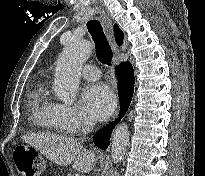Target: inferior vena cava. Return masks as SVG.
Instances as JSON below:
<instances>
[{"label": "inferior vena cava", "instance_id": "obj_1", "mask_svg": "<svg viewBox=\"0 0 205 176\" xmlns=\"http://www.w3.org/2000/svg\"><path fill=\"white\" fill-rule=\"evenodd\" d=\"M94 125H95V123L90 119L85 118L83 120L82 130H81L83 133V137L81 138V141H84V139L86 138V134H88L92 131Z\"/></svg>", "mask_w": 205, "mask_h": 176}]
</instances>
